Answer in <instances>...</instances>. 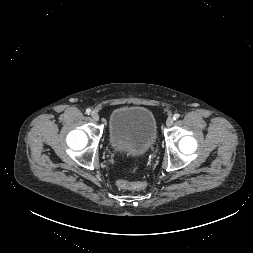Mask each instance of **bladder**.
Segmentation results:
<instances>
[{
    "instance_id": "obj_1",
    "label": "bladder",
    "mask_w": 253,
    "mask_h": 253,
    "mask_svg": "<svg viewBox=\"0 0 253 253\" xmlns=\"http://www.w3.org/2000/svg\"><path fill=\"white\" fill-rule=\"evenodd\" d=\"M157 123L144 106L125 105L114 109L109 118V144L123 156L138 158L153 150Z\"/></svg>"
}]
</instances>
